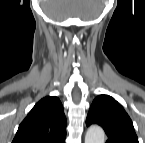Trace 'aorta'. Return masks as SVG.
Masks as SVG:
<instances>
[{"mask_svg": "<svg viewBox=\"0 0 145 143\" xmlns=\"http://www.w3.org/2000/svg\"><path fill=\"white\" fill-rule=\"evenodd\" d=\"M105 133L103 129L99 126L89 127L86 136L85 143H104Z\"/></svg>", "mask_w": 145, "mask_h": 143, "instance_id": "1", "label": "aorta"}]
</instances>
